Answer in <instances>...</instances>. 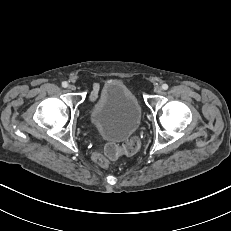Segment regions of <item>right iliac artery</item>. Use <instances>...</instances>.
<instances>
[{"mask_svg":"<svg viewBox=\"0 0 231 231\" xmlns=\"http://www.w3.org/2000/svg\"><path fill=\"white\" fill-rule=\"evenodd\" d=\"M68 86V83L66 81L62 82V87L66 88Z\"/></svg>","mask_w":231,"mask_h":231,"instance_id":"right-iliac-artery-1","label":"right iliac artery"}]
</instances>
